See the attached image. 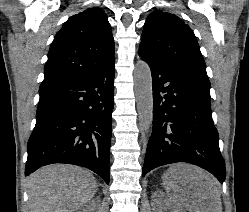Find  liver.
I'll list each match as a JSON object with an SVG mask.
<instances>
[{
  "mask_svg": "<svg viewBox=\"0 0 249 212\" xmlns=\"http://www.w3.org/2000/svg\"><path fill=\"white\" fill-rule=\"evenodd\" d=\"M168 194L173 210L222 212L221 196L215 178L191 164H173ZM172 184V190L170 188ZM97 182L89 170L51 164L28 178L30 212H76L94 198Z\"/></svg>",
  "mask_w": 249,
  "mask_h": 212,
  "instance_id": "6515ba94",
  "label": "liver"
}]
</instances>
